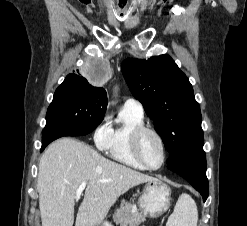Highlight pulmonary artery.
I'll return each mask as SVG.
<instances>
[{
  "label": "pulmonary artery",
  "mask_w": 247,
  "mask_h": 226,
  "mask_svg": "<svg viewBox=\"0 0 247 226\" xmlns=\"http://www.w3.org/2000/svg\"><path fill=\"white\" fill-rule=\"evenodd\" d=\"M124 106H128V107H131L137 111L143 112L142 104L138 100L133 99V98L127 99Z\"/></svg>",
  "instance_id": "obj_1"
}]
</instances>
